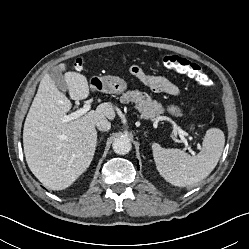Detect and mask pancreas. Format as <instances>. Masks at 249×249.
<instances>
[{
    "mask_svg": "<svg viewBox=\"0 0 249 249\" xmlns=\"http://www.w3.org/2000/svg\"><path fill=\"white\" fill-rule=\"evenodd\" d=\"M120 101L123 103H135V108L138 109L143 118H151L164 113L161 103H158L148 94H143V92L138 90L123 93Z\"/></svg>",
    "mask_w": 249,
    "mask_h": 249,
    "instance_id": "cf45deb5",
    "label": "pancreas"
}]
</instances>
